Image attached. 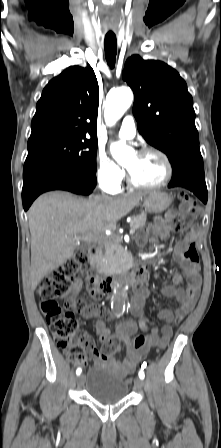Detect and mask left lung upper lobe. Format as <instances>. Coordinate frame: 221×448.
<instances>
[{"mask_svg": "<svg viewBox=\"0 0 221 448\" xmlns=\"http://www.w3.org/2000/svg\"><path fill=\"white\" fill-rule=\"evenodd\" d=\"M122 77L134 92L140 134L168 156L172 168L201 156L193 99L179 73L164 62L133 55Z\"/></svg>", "mask_w": 221, "mask_h": 448, "instance_id": "5c2ea615", "label": "left lung upper lobe"}]
</instances>
